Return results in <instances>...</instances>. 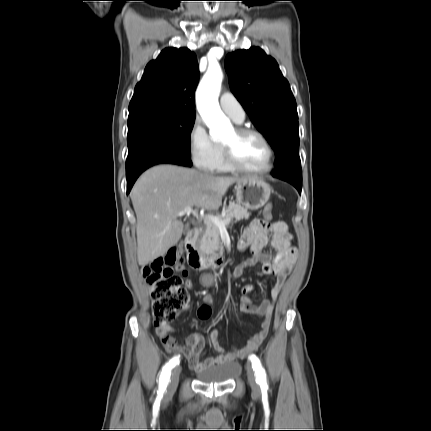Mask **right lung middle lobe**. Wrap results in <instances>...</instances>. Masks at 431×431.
<instances>
[{"instance_id": "1", "label": "right lung middle lobe", "mask_w": 431, "mask_h": 431, "mask_svg": "<svg viewBox=\"0 0 431 431\" xmlns=\"http://www.w3.org/2000/svg\"><path fill=\"white\" fill-rule=\"evenodd\" d=\"M195 115L147 113L128 118V151L148 142H163L190 156Z\"/></svg>"}]
</instances>
